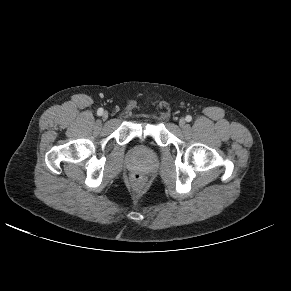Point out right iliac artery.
Here are the masks:
<instances>
[{"mask_svg":"<svg viewBox=\"0 0 291 291\" xmlns=\"http://www.w3.org/2000/svg\"><path fill=\"white\" fill-rule=\"evenodd\" d=\"M102 113H103V109L102 108L98 109L97 114L100 116L102 115Z\"/></svg>","mask_w":291,"mask_h":291,"instance_id":"1","label":"right iliac artery"}]
</instances>
